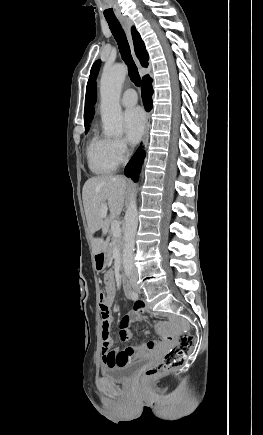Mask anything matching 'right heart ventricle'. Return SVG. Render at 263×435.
<instances>
[{
  "mask_svg": "<svg viewBox=\"0 0 263 435\" xmlns=\"http://www.w3.org/2000/svg\"><path fill=\"white\" fill-rule=\"evenodd\" d=\"M87 161L89 169L96 175L113 173L118 162L112 152V139L94 130L87 145Z\"/></svg>",
  "mask_w": 263,
  "mask_h": 435,
  "instance_id": "e07e8e85",
  "label": "right heart ventricle"
}]
</instances>
